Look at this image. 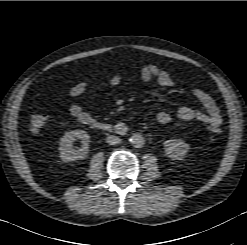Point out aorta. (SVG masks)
Returning a JSON list of instances; mask_svg holds the SVG:
<instances>
[{
  "instance_id": "1",
  "label": "aorta",
  "mask_w": 247,
  "mask_h": 245,
  "mask_svg": "<svg viewBox=\"0 0 247 245\" xmlns=\"http://www.w3.org/2000/svg\"><path fill=\"white\" fill-rule=\"evenodd\" d=\"M130 142L135 148H142L144 145V137L141 134H133L130 138Z\"/></svg>"
}]
</instances>
